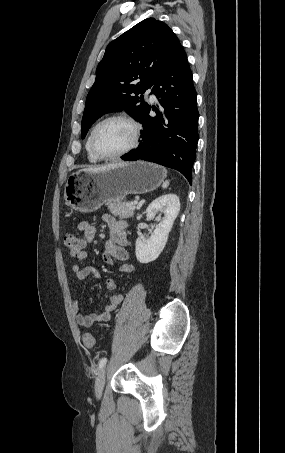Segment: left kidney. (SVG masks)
Segmentation results:
<instances>
[{
    "mask_svg": "<svg viewBox=\"0 0 285 453\" xmlns=\"http://www.w3.org/2000/svg\"><path fill=\"white\" fill-rule=\"evenodd\" d=\"M180 211V200L175 194L162 195L151 202L146 209V216L154 219L160 212L164 215L162 220L155 218L159 223L147 240L137 238L135 244L136 258L140 263L146 264L156 260L168 241L169 232Z\"/></svg>",
    "mask_w": 285,
    "mask_h": 453,
    "instance_id": "left-kidney-1",
    "label": "left kidney"
}]
</instances>
